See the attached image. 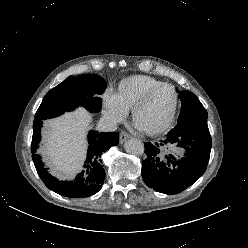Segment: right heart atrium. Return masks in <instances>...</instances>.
<instances>
[{
  "mask_svg": "<svg viewBox=\"0 0 248 248\" xmlns=\"http://www.w3.org/2000/svg\"><path fill=\"white\" fill-rule=\"evenodd\" d=\"M103 107L106 117L115 123L122 122L126 117L127 112L117 103L112 93L103 95Z\"/></svg>",
  "mask_w": 248,
  "mask_h": 248,
  "instance_id": "obj_1",
  "label": "right heart atrium"
}]
</instances>
